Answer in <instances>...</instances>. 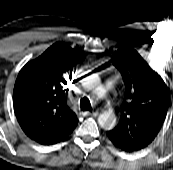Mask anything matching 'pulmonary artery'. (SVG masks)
<instances>
[{"instance_id":"pulmonary-artery-1","label":"pulmonary artery","mask_w":173,"mask_h":170,"mask_svg":"<svg viewBox=\"0 0 173 170\" xmlns=\"http://www.w3.org/2000/svg\"><path fill=\"white\" fill-rule=\"evenodd\" d=\"M110 85L111 84L109 82L105 83L104 86H103V90L107 91L109 89Z\"/></svg>"}]
</instances>
